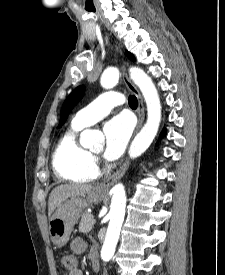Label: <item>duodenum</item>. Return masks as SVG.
<instances>
[{
    "label": "duodenum",
    "mask_w": 225,
    "mask_h": 275,
    "mask_svg": "<svg viewBox=\"0 0 225 275\" xmlns=\"http://www.w3.org/2000/svg\"><path fill=\"white\" fill-rule=\"evenodd\" d=\"M91 257H92V267L95 271H97L99 267H98L96 255L92 254Z\"/></svg>",
    "instance_id": "duodenum-1"
}]
</instances>
